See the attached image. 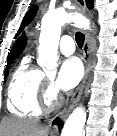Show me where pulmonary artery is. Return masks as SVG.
I'll return each mask as SVG.
<instances>
[{
	"label": "pulmonary artery",
	"instance_id": "1",
	"mask_svg": "<svg viewBox=\"0 0 117 136\" xmlns=\"http://www.w3.org/2000/svg\"><path fill=\"white\" fill-rule=\"evenodd\" d=\"M59 49L64 55L73 54L75 51L74 40L68 35L63 36L59 43Z\"/></svg>",
	"mask_w": 117,
	"mask_h": 136
}]
</instances>
